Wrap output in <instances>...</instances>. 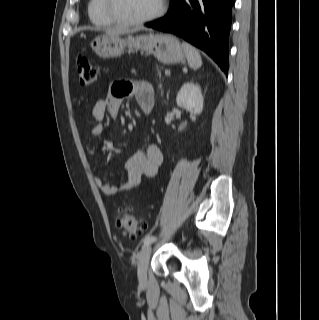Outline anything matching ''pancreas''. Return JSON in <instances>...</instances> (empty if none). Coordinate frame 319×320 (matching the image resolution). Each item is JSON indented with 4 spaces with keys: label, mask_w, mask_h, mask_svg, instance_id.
Wrapping results in <instances>:
<instances>
[{
    "label": "pancreas",
    "mask_w": 319,
    "mask_h": 320,
    "mask_svg": "<svg viewBox=\"0 0 319 320\" xmlns=\"http://www.w3.org/2000/svg\"><path fill=\"white\" fill-rule=\"evenodd\" d=\"M157 75L159 76V79H161V69L157 66Z\"/></svg>",
    "instance_id": "1"
}]
</instances>
